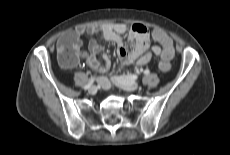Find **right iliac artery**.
I'll return each instance as SVG.
<instances>
[{"instance_id": "obj_1", "label": "right iliac artery", "mask_w": 230, "mask_h": 155, "mask_svg": "<svg viewBox=\"0 0 230 155\" xmlns=\"http://www.w3.org/2000/svg\"><path fill=\"white\" fill-rule=\"evenodd\" d=\"M94 79H95L94 77H91V79L89 80L87 85L84 87V89H88L94 83Z\"/></svg>"}]
</instances>
